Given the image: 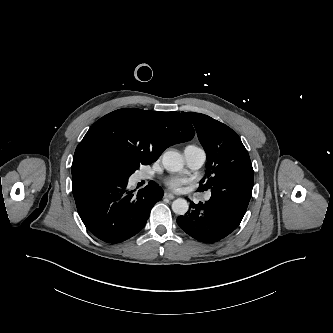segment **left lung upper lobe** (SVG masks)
Returning a JSON list of instances; mask_svg holds the SVG:
<instances>
[{"label":"left lung upper lobe","instance_id":"left-lung-upper-lobe-1","mask_svg":"<svg viewBox=\"0 0 333 333\" xmlns=\"http://www.w3.org/2000/svg\"><path fill=\"white\" fill-rule=\"evenodd\" d=\"M184 115L193 123L208 158L198 191L209 189L212 192L224 172L251 162L249 154L239 136L225 124L204 114L184 112Z\"/></svg>","mask_w":333,"mask_h":333}]
</instances>
